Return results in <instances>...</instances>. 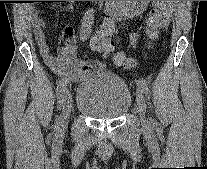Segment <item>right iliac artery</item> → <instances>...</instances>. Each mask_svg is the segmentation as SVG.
<instances>
[{
    "label": "right iliac artery",
    "instance_id": "1",
    "mask_svg": "<svg viewBox=\"0 0 207 169\" xmlns=\"http://www.w3.org/2000/svg\"><path fill=\"white\" fill-rule=\"evenodd\" d=\"M93 20H94V10L91 9L88 10L83 17V22L81 25V32H80V37L82 40H86L89 37L91 33ZM66 86H67V79L62 78L57 86V98L59 104L58 108H60V105L63 103L62 98L67 90ZM56 123L57 125L59 124L58 120L56 121Z\"/></svg>",
    "mask_w": 207,
    "mask_h": 169
}]
</instances>
